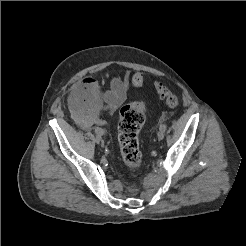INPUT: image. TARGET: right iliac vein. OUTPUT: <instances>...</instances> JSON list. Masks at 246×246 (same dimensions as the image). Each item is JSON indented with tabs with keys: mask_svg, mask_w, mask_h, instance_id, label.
<instances>
[{
	"mask_svg": "<svg viewBox=\"0 0 246 246\" xmlns=\"http://www.w3.org/2000/svg\"><path fill=\"white\" fill-rule=\"evenodd\" d=\"M95 141H96L97 143H100V142L102 141L101 135H97V134H96Z\"/></svg>",
	"mask_w": 246,
	"mask_h": 246,
	"instance_id": "obj_1",
	"label": "right iliac vein"
}]
</instances>
